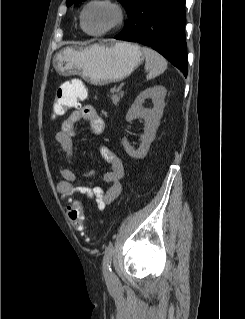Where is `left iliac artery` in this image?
<instances>
[{"mask_svg": "<svg viewBox=\"0 0 245 319\" xmlns=\"http://www.w3.org/2000/svg\"><path fill=\"white\" fill-rule=\"evenodd\" d=\"M113 256V244L109 243L106 247L104 258H103V274L105 278L114 279L115 276L111 269V261Z\"/></svg>", "mask_w": 245, "mask_h": 319, "instance_id": "1", "label": "left iliac artery"}]
</instances>
